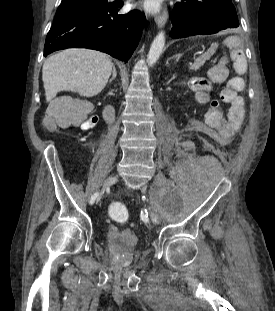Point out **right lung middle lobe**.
Wrapping results in <instances>:
<instances>
[{
  "mask_svg": "<svg viewBox=\"0 0 275 311\" xmlns=\"http://www.w3.org/2000/svg\"><path fill=\"white\" fill-rule=\"evenodd\" d=\"M108 0H66L62 1V4L59 6L55 18H59L65 14L93 9V8H100L107 6Z\"/></svg>",
  "mask_w": 275,
  "mask_h": 311,
  "instance_id": "dd1d6c3e",
  "label": "right lung middle lobe"
}]
</instances>
